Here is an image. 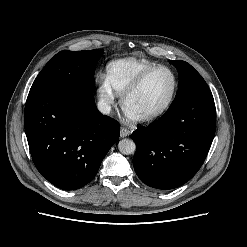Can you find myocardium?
I'll return each mask as SVG.
<instances>
[{
    "instance_id": "1",
    "label": "myocardium",
    "mask_w": 247,
    "mask_h": 247,
    "mask_svg": "<svg viewBox=\"0 0 247 247\" xmlns=\"http://www.w3.org/2000/svg\"><path fill=\"white\" fill-rule=\"evenodd\" d=\"M160 70L169 73L173 81V88H172L171 94L169 98L167 99V101L158 109L150 111V112L141 113V114H136V113L131 112L127 108V101L129 100V98L132 97L137 92V90L140 88V86L143 84V82L149 75H151L152 73L156 71H160ZM177 91H178V80H177L175 73L167 66L155 65L143 71L141 74H139L132 81V83L123 91V93L121 94V98H120V105L127 115L134 116L135 119L138 121L147 122V121H151V120H154L160 117L170 108V106L172 105L176 97Z\"/></svg>"
}]
</instances>
